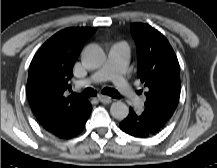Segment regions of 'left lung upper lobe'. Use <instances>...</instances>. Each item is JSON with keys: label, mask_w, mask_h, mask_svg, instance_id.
<instances>
[{"label": "left lung upper lobe", "mask_w": 217, "mask_h": 168, "mask_svg": "<svg viewBox=\"0 0 217 168\" xmlns=\"http://www.w3.org/2000/svg\"><path fill=\"white\" fill-rule=\"evenodd\" d=\"M137 44V75L145 86L144 110L170 119L180 97L179 62L164 35L144 23L131 24Z\"/></svg>", "instance_id": "obj_1"}]
</instances>
